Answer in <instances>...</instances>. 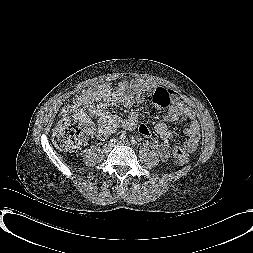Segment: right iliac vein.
<instances>
[{
    "instance_id": "63e3f726",
    "label": "right iliac vein",
    "mask_w": 253,
    "mask_h": 253,
    "mask_svg": "<svg viewBox=\"0 0 253 253\" xmlns=\"http://www.w3.org/2000/svg\"><path fill=\"white\" fill-rule=\"evenodd\" d=\"M110 148H111V145L105 146L104 147V152H106V153L109 152Z\"/></svg>"
}]
</instances>
